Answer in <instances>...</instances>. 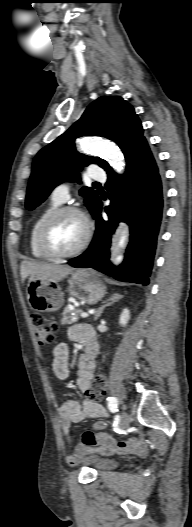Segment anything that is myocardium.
Wrapping results in <instances>:
<instances>
[{"instance_id": "myocardium-1", "label": "myocardium", "mask_w": 192, "mask_h": 527, "mask_svg": "<svg viewBox=\"0 0 192 527\" xmlns=\"http://www.w3.org/2000/svg\"><path fill=\"white\" fill-rule=\"evenodd\" d=\"M66 214H75L81 218L84 224V236L81 242L71 251L59 252L50 243V232L56 221ZM92 238V225L83 210L75 206H62L55 209L42 223L38 233V243L42 252L53 260L72 258L80 254L89 245Z\"/></svg>"}]
</instances>
